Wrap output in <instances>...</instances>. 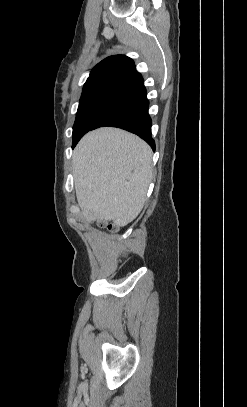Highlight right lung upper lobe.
I'll return each instance as SVG.
<instances>
[{
  "label": "right lung upper lobe",
  "instance_id": "obj_1",
  "mask_svg": "<svg viewBox=\"0 0 247 407\" xmlns=\"http://www.w3.org/2000/svg\"><path fill=\"white\" fill-rule=\"evenodd\" d=\"M116 88L138 93L145 89L143 78L136 71L133 60L125 55L110 56L99 62L84 84L81 99Z\"/></svg>",
  "mask_w": 247,
  "mask_h": 407
}]
</instances>
